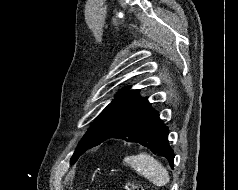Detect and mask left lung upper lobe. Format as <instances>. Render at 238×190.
<instances>
[{
  "mask_svg": "<svg viewBox=\"0 0 238 190\" xmlns=\"http://www.w3.org/2000/svg\"><path fill=\"white\" fill-rule=\"evenodd\" d=\"M139 91L126 88L118 93L88 129L71 157L70 163H74L88 148L102 143L103 138L113 128L121 114L141 98Z\"/></svg>",
  "mask_w": 238,
  "mask_h": 190,
  "instance_id": "obj_1",
  "label": "left lung upper lobe"
}]
</instances>
